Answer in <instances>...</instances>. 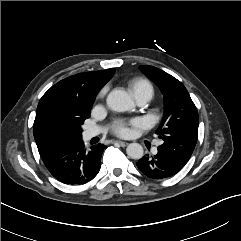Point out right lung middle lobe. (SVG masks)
<instances>
[{"label": "right lung middle lobe", "mask_w": 241, "mask_h": 241, "mask_svg": "<svg viewBox=\"0 0 241 241\" xmlns=\"http://www.w3.org/2000/svg\"><path fill=\"white\" fill-rule=\"evenodd\" d=\"M89 115L81 118L77 117H55L49 120L46 126L48 140L54 146L82 139L81 125Z\"/></svg>", "instance_id": "obj_1"}]
</instances>
